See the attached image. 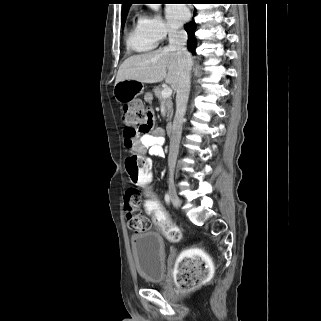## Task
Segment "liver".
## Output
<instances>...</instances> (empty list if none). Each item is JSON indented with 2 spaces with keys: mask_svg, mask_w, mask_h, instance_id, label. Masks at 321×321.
I'll return each mask as SVG.
<instances>
[{
  "mask_svg": "<svg viewBox=\"0 0 321 321\" xmlns=\"http://www.w3.org/2000/svg\"><path fill=\"white\" fill-rule=\"evenodd\" d=\"M179 77V56L175 50L164 47L127 58L118 70L115 83L135 80L153 84L165 80L176 90Z\"/></svg>",
  "mask_w": 321,
  "mask_h": 321,
  "instance_id": "liver-1",
  "label": "liver"
}]
</instances>
